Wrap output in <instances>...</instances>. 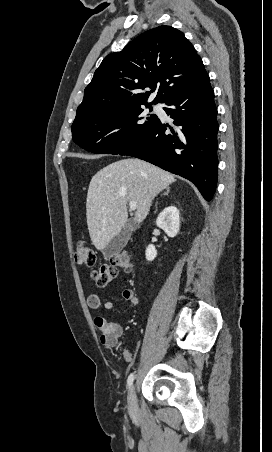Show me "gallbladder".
Instances as JSON below:
<instances>
[{"label":"gallbladder","mask_w":272,"mask_h":452,"mask_svg":"<svg viewBox=\"0 0 272 452\" xmlns=\"http://www.w3.org/2000/svg\"><path fill=\"white\" fill-rule=\"evenodd\" d=\"M136 229V223L130 219L120 230V232L103 248L102 253L105 260L118 255L127 245L131 233Z\"/></svg>","instance_id":"bac80fb5"}]
</instances>
